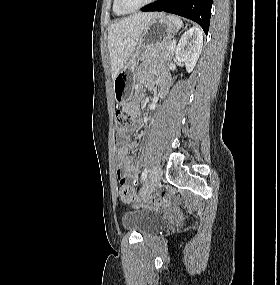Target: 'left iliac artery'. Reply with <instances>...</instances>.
<instances>
[{
    "mask_svg": "<svg viewBox=\"0 0 280 285\" xmlns=\"http://www.w3.org/2000/svg\"><path fill=\"white\" fill-rule=\"evenodd\" d=\"M147 174H148V168L146 167L143 172H142V175H141V182H144L147 178Z\"/></svg>",
    "mask_w": 280,
    "mask_h": 285,
    "instance_id": "left-iliac-artery-1",
    "label": "left iliac artery"
}]
</instances>
